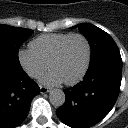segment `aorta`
<instances>
[{
    "label": "aorta",
    "mask_w": 128,
    "mask_h": 128,
    "mask_svg": "<svg viewBox=\"0 0 128 128\" xmlns=\"http://www.w3.org/2000/svg\"><path fill=\"white\" fill-rule=\"evenodd\" d=\"M65 94L61 89H53L49 93V100L55 107H60L65 102Z\"/></svg>",
    "instance_id": "1"
}]
</instances>
